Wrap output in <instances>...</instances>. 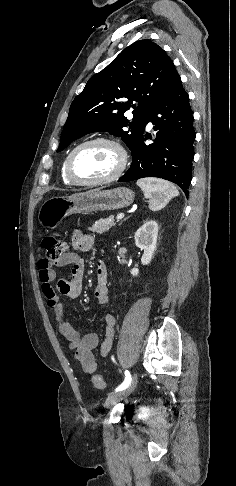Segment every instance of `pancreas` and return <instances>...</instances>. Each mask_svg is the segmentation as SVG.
Wrapping results in <instances>:
<instances>
[{
  "label": "pancreas",
  "instance_id": "cf45deb5",
  "mask_svg": "<svg viewBox=\"0 0 236 486\" xmlns=\"http://www.w3.org/2000/svg\"><path fill=\"white\" fill-rule=\"evenodd\" d=\"M115 219L114 216L111 215L109 217H106L104 219H99L96 221L90 228L89 230L92 231L93 233H98L102 234L106 231H109L113 226H115Z\"/></svg>",
  "mask_w": 236,
  "mask_h": 486
}]
</instances>
